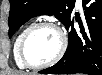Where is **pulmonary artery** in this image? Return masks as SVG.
Here are the masks:
<instances>
[{
    "mask_svg": "<svg viewBox=\"0 0 102 75\" xmlns=\"http://www.w3.org/2000/svg\"><path fill=\"white\" fill-rule=\"evenodd\" d=\"M81 3H82V1H81V0H77V1H76L77 6H80V5H81Z\"/></svg>",
    "mask_w": 102,
    "mask_h": 75,
    "instance_id": "e3ab8cb5",
    "label": "pulmonary artery"
}]
</instances>
